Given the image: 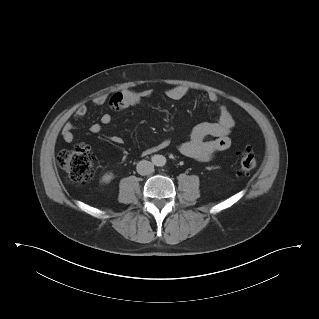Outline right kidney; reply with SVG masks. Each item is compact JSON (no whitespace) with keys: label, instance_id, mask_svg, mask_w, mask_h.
Listing matches in <instances>:
<instances>
[{"label":"right kidney","instance_id":"ca27d5eb","mask_svg":"<svg viewBox=\"0 0 319 319\" xmlns=\"http://www.w3.org/2000/svg\"><path fill=\"white\" fill-rule=\"evenodd\" d=\"M111 179H112L111 173H106V174L102 177V182L108 183V182H110Z\"/></svg>","mask_w":319,"mask_h":319}]
</instances>
